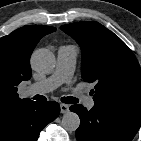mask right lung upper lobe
I'll return each mask as SVG.
<instances>
[{
	"label": "right lung upper lobe",
	"instance_id": "right-lung-upper-lobe-1",
	"mask_svg": "<svg viewBox=\"0 0 141 141\" xmlns=\"http://www.w3.org/2000/svg\"><path fill=\"white\" fill-rule=\"evenodd\" d=\"M55 30L44 25L24 26L0 38V120L33 102L30 99L21 100L17 86L31 78L29 59L36 44Z\"/></svg>",
	"mask_w": 141,
	"mask_h": 141
}]
</instances>
